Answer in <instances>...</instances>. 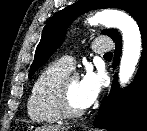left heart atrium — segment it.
Returning a JSON list of instances; mask_svg holds the SVG:
<instances>
[{"instance_id":"left-heart-atrium-1","label":"left heart atrium","mask_w":147,"mask_h":131,"mask_svg":"<svg viewBox=\"0 0 147 131\" xmlns=\"http://www.w3.org/2000/svg\"><path fill=\"white\" fill-rule=\"evenodd\" d=\"M104 79L100 73L87 70L79 80V99L83 108L91 106L99 97Z\"/></svg>"}]
</instances>
